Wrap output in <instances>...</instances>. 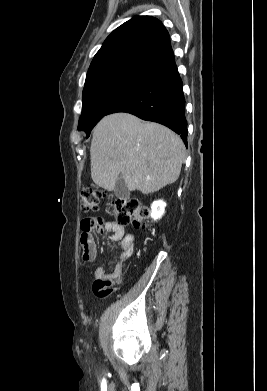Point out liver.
<instances>
[{"instance_id": "1", "label": "liver", "mask_w": 267, "mask_h": 391, "mask_svg": "<svg viewBox=\"0 0 267 391\" xmlns=\"http://www.w3.org/2000/svg\"><path fill=\"white\" fill-rule=\"evenodd\" d=\"M90 155L91 177L98 186L112 191L121 176L129 191L149 194L178 179L185 148L165 126L114 113L95 126Z\"/></svg>"}]
</instances>
